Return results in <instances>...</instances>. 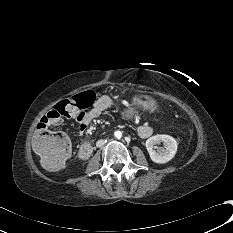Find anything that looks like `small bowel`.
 Instances as JSON below:
<instances>
[{
    "mask_svg": "<svg viewBox=\"0 0 233 233\" xmlns=\"http://www.w3.org/2000/svg\"><path fill=\"white\" fill-rule=\"evenodd\" d=\"M119 97L120 92L116 88H111L107 92V96L103 95L99 97L88 111L81 112L73 108H67L65 113L62 114L59 108L55 107L41 118L38 125L40 124L47 128L49 126H56L62 122V116H66L77 121L78 133L83 134L92 120L111 108L114 101H116ZM153 132L154 128L150 125H142L137 129V133L141 138H148L153 134Z\"/></svg>",
    "mask_w": 233,
    "mask_h": 233,
    "instance_id": "1",
    "label": "small bowel"
}]
</instances>
